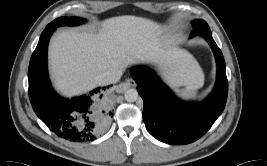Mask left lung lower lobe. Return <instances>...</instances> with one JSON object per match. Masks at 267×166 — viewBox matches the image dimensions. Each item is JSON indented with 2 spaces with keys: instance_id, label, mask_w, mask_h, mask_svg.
Returning a JSON list of instances; mask_svg holds the SVG:
<instances>
[{
  "instance_id": "1",
  "label": "left lung lower lobe",
  "mask_w": 267,
  "mask_h": 166,
  "mask_svg": "<svg viewBox=\"0 0 267 166\" xmlns=\"http://www.w3.org/2000/svg\"><path fill=\"white\" fill-rule=\"evenodd\" d=\"M212 47L217 62V81L201 103H186L148 67H135L131 74L144 103L143 120L149 133L164 143L189 144L204 135L223 112L227 100L226 65L210 32L201 33Z\"/></svg>"
}]
</instances>
